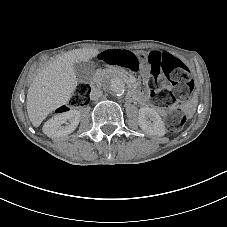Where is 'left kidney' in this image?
I'll return each mask as SVG.
<instances>
[{
    "instance_id": "obj_1",
    "label": "left kidney",
    "mask_w": 227,
    "mask_h": 227,
    "mask_svg": "<svg viewBox=\"0 0 227 227\" xmlns=\"http://www.w3.org/2000/svg\"><path fill=\"white\" fill-rule=\"evenodd\" d=\"M138 120L141 129L145 132L157 136L164 135V123L156 110L149 107L140 108Z\"/></svg>"
}]
</instances>
